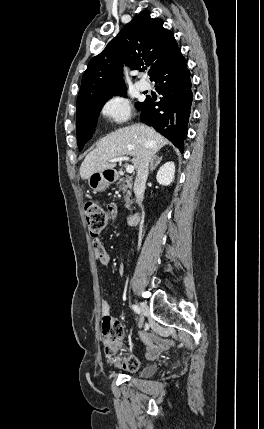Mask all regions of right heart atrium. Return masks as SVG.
Segmentation results:
<instances>
[{
	"instance_id": "right-heart-atrium-1",
	"label": "right heart atrium",
	"mask_w": 264,
	"mask_h": 429,
	"mask_svg": "<svg viewBox=\"0 0 264 429\" xmlns=\"http://www.w3.org/2000/svg\"><path fill=\"white\" fill-rule=\"evenodd\" d=\"M99 112L108 125L119 126L131 118L132 109L127 98L115 94L102 102Z\"/></svg>"
}]
</instances>
